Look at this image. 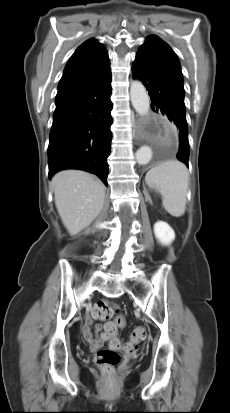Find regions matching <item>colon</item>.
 Segmentation results:
<instances>
[{
    "instance_id": "1",
    "label": "colon",
    "mask_w": 230,
    "mask_h": 413,
    "mask_svg": "<svg viewBox=\"0 0 230 413\" xmlns=\"http://www.w3.org/2000/svg\"><path fill=\"white\" fill-rule=\"evenodd\" d=\"M118 309L119 308L115 303L99 301L94 305L93 315L100 321H109L116 315ZM117 317H115V319ZM145 336L146 331L144 328H135L130 336L129 342L124 347L125 351L128 353L135 351L137 346L145 339ZM109 345V348H104L97 352L95 362L108 374H111L120 362V355L117 352V349L121 346L120 341L116 338V334L113 330L109 332Z\"/></svg>"
}]
</instances>
